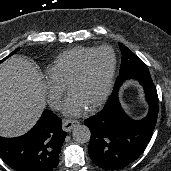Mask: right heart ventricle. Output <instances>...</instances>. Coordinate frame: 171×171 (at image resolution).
<instances>
[{"label":"right heart ventricle","mask_w":171,"mask_h":171,"mask_svg":"<svg viewBox=\"0 0 171 171\" xmlns=\"http://www.w3.org/2000/svg\"><path fill=\"white\" fill-rule=\"evenodd\" d=\"M94 49L90 47H77L62 52L55 58L48 73L64 86H68L71 77L79 65Z\"/></svg>","instance_id":"e07e8e85"}]
</instances>
